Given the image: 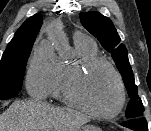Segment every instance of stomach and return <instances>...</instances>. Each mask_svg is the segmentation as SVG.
<instances>
[{
  "label": "stomach",
  "mask_w": 151,
  "mask_h": 131,
  "mask_svg": "<svg viewBox=\"0 0 151 131\" xmlns=\"http://www.w3.org/2000/svg\"><path fill=\"white\" fill-rule=\"evenodd\" d=\"M78 131H101L99 128L91 125L83 126Z\"/></svg>",
  "instance_id": "1"
}]
</instances>
